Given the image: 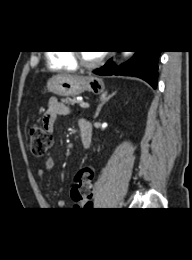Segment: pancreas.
Wrapping results in <instances>:
<instances>
[{
  "label": "pancreas",
  "instance_id": "obj_1",
  "mask_svg": "<svg viewBox=\"0 0 192 260\" xmlns=\"http://www.w3.org/2000/svg\"><path fill=\"white\" fill-rule=\"evenodd\" d=\"M62 102L67 105H75L76 103L79 102V100H76L75 98H65V99H62Z\"/></svg>",
  "mask_w": 192,
  "mask_h": 260
}]
</instances>
